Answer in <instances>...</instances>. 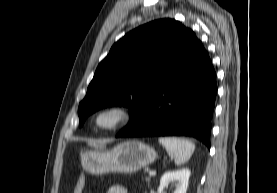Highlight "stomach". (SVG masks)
Segmentation results:
<instances>
[{
  "mask_svg": "<svg viewBox=\"0 0 277 193\" xmlns=\"http://www.w3.org/2000/svg\"><path fill=\"white\" fill-rule=\"evenodd\" d=\"M157 157L153 147L141 141H126L111 150L103 148L81 152L82 168L90 174H130L152 163Z\"/></svg>",
  "mask_w": 277,
  "mask_h": 193,
  "instance_id": "stomach-1",
  "label": "stomach"
}]
</instances>
